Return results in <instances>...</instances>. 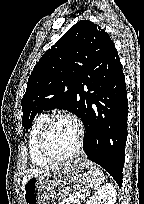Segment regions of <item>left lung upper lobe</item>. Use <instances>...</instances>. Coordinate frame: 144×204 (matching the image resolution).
<instances>
[{
  "mask_svg": "<svg viewBox=\"0 0 144 204\" xmlns=\"http://www.w3.org/2000/svg\"><path fill=\"white\" fill-rule=\"evenodd\" d=\"M119 59L109 35L95 23L81 20L68 30L35 65L21 105L22 125L31 127L36 114L53 108L85 117L87 69Z\"/></svg>",
  "mask_w": 144,
  "mask_h": 204,
  "instance_id": "left-lung-upper-lobe-1",
  "label": "left lung upper lobe"
}]
</instances>
